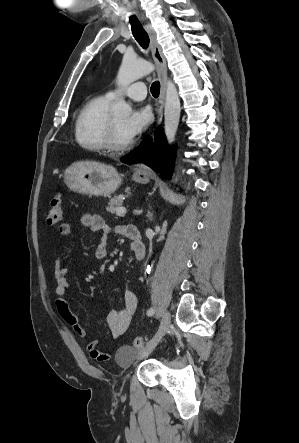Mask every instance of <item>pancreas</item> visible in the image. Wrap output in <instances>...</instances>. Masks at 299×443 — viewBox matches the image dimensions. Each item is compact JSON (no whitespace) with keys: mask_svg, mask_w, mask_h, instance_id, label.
<instances>
[{"mask_svg":"<svg viewBox=\"0 0 299 443\" xmlns=\"http://www.w3.org/2000/svg\"><path fill=\"white\" fill-rule=\"evenodd\" d=\"M122 197L123 195H119L112 198L108 204V207L106 208L107 212L114 214L117 211V209L122 206L123 202Z\"/></svg>","mask_w":299,"mask_h":443,"instance_id":"obj_1","label":"pancreas"}]
</instances>
